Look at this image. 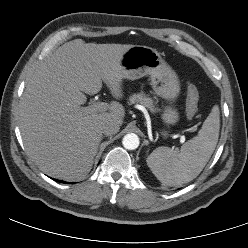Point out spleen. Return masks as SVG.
Masks as SVG:
<instances>
[{
	"label": "spleen",
	"instance_id": "1",
	"mask_svg": "<svg viewBox=\"0 0 248 248\" xmlns=\"http://www.w3.org/2000/svg\"><path fill=\"white\" fill-rule=\"evenodd\" d=\"M220 111L215 105L198 135L184 143L180 150L156 148L147 165L156 178L168 186H181L195 179L209 161L218 142Z\"/></svg>",
	"mask_w": 248,
	"mask_h": 248
}]
</instances>
